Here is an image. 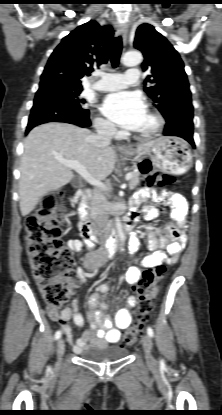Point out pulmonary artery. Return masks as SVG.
<instances>
[{
  "label": "pulmonary artery",
  "instance_id": "pulmonary-artery-1",
  "mask_svg": "<svg viewBox=\"0 0 222 415\" xmlns=\"http://www.w3.org/2000/svg\"><path fill=\"white\" fill-rule=\"evenodd\" d=\"M140 78L138 69H130L124 74H103L100 81L92 85L93 89L101 92L115 91L128 85H135Z\"/></svg>",
  "mask_w": 222,
  "mask_h": 415
}]
</instances>
